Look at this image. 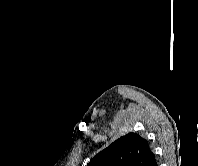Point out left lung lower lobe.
Wrapping results in <instances>:
<instances>
[{
  "label": "left lung lower lobe",
  "mask_w": 198,
  "mask_h": 166,
  "mask_svg": "<svg viewBox=\"0 0 198 166\" xmlns=\"http://www.w3.org/2000/svg\"><path fill=\"white\" fill-rule=\"evenodd\" d=\"M152 166H158V165H157V162L155 161V162L152 164Z\"/></svg>",
  "instance_id": "obj_1"
}]
</instances>
